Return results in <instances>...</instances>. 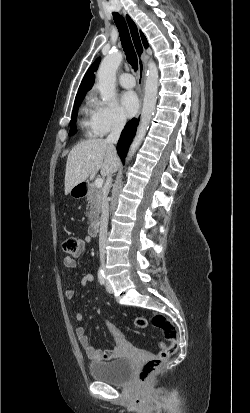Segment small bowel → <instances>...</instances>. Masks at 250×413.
I'll return each mask as SVG.
<instances>
[{"label":"small bowel","mask_w":250,"mask_h":413,"mask_svg":"<svg viewBox=\"0 0 250 413\" xmlns=\"http://www.w3.org/2000/svg\"><path fill=\"white\" fill-rule=\"evenodd\" d=\"M89 241V237H85L84 239L79 240V249L76 253L66 256L63 260V264L67 269H75L77 266L76 258L86 250V243ZM94 277L91 274H87L82 279V285L85 286L87 283L93 282ZM76 296L75 289L69 288L65 291V297L68 300L74 299ZM75 319L77 321H81L83 319V314L78 311L75 314ZM76 336L81 347L85 350L89 359L94 361H102V360H112L116 358L121 352V345L125 342V339H115L116 344L118 345L116 348L112 350H98L94 348L91 343L88 335L85 332L83 327H77L75 330Z\"/></svg>","instance_id":"small-bowel-1"}]
</instances>
